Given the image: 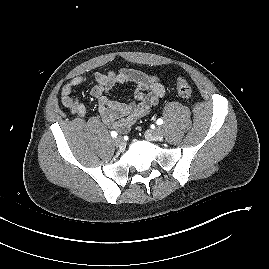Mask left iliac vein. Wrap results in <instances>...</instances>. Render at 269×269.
<instances>
[{"label": "left iliac vein", "instance_id": "left-iliac-vein-1", "mask_svg": "<svg viewBox=\"0 0 269 269\" xmlns=\"http://www.w3.org/2000/svg\"><path fill=\"white\" fill-rule=\"evenodd\" d=\"M162 136H163V131L160 127H157L153 130H149L145 133V137L153 141L161 140Z\"/></svg>", "mask_w": 269, "mask_h": 269}]
</instances>
